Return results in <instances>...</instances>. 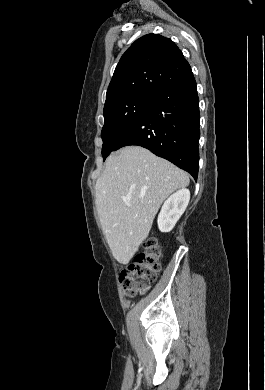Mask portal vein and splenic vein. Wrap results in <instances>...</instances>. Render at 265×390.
Returning <instances> with one entry per match:
<instances>
[{"label":"portal vein and splenic vein","mask_w":265,"mask_h":390,"mask_svg":"<svg viewBox=\"0 0 265 390\" xmlns=\"http://www.w3.org/2000/svg\"><path fill=\"white\" fill-rule=\"evenodd\" d=\"M123 202L126 204H129V199L128 198H123Z\"/></svg>","instance_id":"1"}]
</instances>
